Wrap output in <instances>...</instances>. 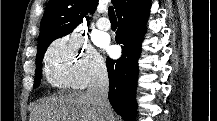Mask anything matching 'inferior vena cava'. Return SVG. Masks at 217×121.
I'll return each mask as SVG.
<instances>
[{"label":"inferior vena cava","instance_id":"obj_1","mask_svg":"<svg viewBox=\"0 0 217 121\" xmlns=\"http://www.w3.org/2000/svg\"><path fill=\"white\" fill-rule=\"evenodd\" d=\"M109 79L106 66L99 64L94 69L87 95L97 105L101 121H113V112L108 101Z\"/></svg>","mask_w":217,"mask_h":121}]
</instances>
